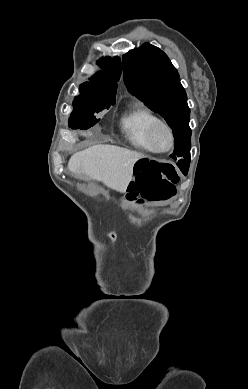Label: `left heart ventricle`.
I'll list each match as a JSON object with an SVG mask.
<instances>
[{"mask_svg": "<svg viewBox=\"0 0 248 389\" xmlns=\"http://www.w3.org/2000/svg\"><path fill=\"white\" fill-rule=\"evenodd\" d=\"M167 144L165 132L158 129L154 135V145L158 148H164Z\"/></svg>", "mask_w": 248, "mask_h": 389, "instance_id": "1", "label": "left heart ventricle"}]
</instances>
